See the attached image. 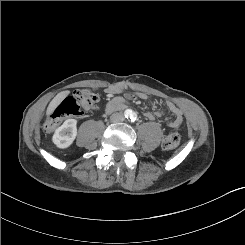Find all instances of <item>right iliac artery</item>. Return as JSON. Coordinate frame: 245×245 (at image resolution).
<instances>
[{"instance_id":"82829eb1","label":"right iliac artery","mask_w":245,"mask_h":245,"mask_svg":"<svg viewBox=\"0 0 245 245\" xmlns=\"http://www.w3.org/2000/svg\"><path fill=\"white\" fill-rule=\"evenodd\" d=\"M130 115V112L126 111L125 116L128 117Z\"/></svg>"}]
</instances>
